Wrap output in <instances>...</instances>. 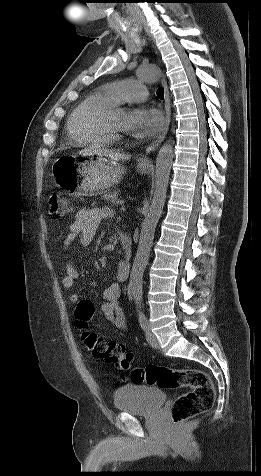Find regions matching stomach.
<instances>
[{
  "mask_svg": "<svg viewBox=\"0 0 261 476\" xmlns=\"http://www.w3.org/2000/svg\"><path fill=\"white\" fill-rule=\"evenodd\" d=\"M147 167L138 166L142 173ZM56 183H61L62 190L68 195H94L117 184L125 173V168L108 160V154L101 152L99 158L94 155L80 154L60 156L59 164H54Z\"/></svg>",
  "mask_w": 261,
  "mask_h": 476,
  "instance_id": "0dacf381",
  "label": "stomach"
}]
</instances>
